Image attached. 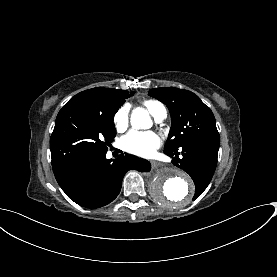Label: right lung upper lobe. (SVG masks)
<instances>
[{"mask_svg":"<svg viewBox=\"0 0 277 277\" xmlns=\"http://www.w3.org/2000/svg\"><path fill=\"white\" fill-rule=\"evenodd\" d=\"M129 97V92L124 90L92 88L78 93L63 107L79 105L95 109L101 113H116L125 99Z\"/></svg>","mask_w":277,"mask_h":277,"instance_id":"1","label":"right lung upper lobe"}]
</instances>
